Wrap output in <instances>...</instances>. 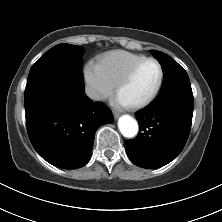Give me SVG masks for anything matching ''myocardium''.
I'll use <instances>...</instances> for the list:
<instances>
[{"mask_svg":"<svg viewBox=\"0 0 222 222\" xmlns=\"http://www.w3.org/2000/svg\"><path fill=\"white\" fill-rule=\"evenodd\" d=\"M148 62H153L157 65L158 70H159V78H158V82L154 88V90L152 91V93L143 101L135 103V104H130L129 107L131 109L134 110H139L142 108L147 107L148 105H150L155 98L157 97L162 84H163V79H164V71L162 68V65L160 64V62L154 58H145L143 60H140L139 62H137L136 64H134L128 71L127 73L119 80V82L116 84V88L115 91L116 93H119V91L124 88L134 77L135 73L137 72V70L145 63Z\"/></svg>","mask_w":222,"mask_h":222,"instance_id":"f54148a6","label":"myocardium"}]
</instances>
